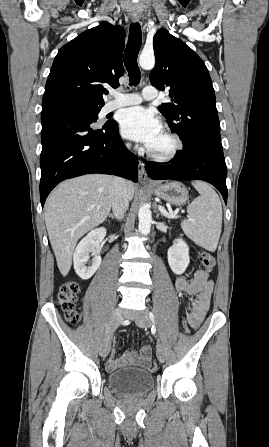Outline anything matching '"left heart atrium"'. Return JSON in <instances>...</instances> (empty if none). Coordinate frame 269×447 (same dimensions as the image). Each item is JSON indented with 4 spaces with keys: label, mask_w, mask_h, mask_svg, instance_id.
<instances>
[{
    "label": "left heart atrium",
    "mask_w": 269,
    "mask_h": 447,
    "mask_svg": "<svg viewBox=\"0 0 269 447\" xmlns=\"http://www.w3.org/2000/svg\"><path fill=\"white\" fill-rule=\"evenodd\" d=\"M119 123L121 134L124 137L141 142L146 146L163 129L158 115L143 107H132L121 111Z\"/></svg>",
    "instance_id": "1"
}]
</instances>
